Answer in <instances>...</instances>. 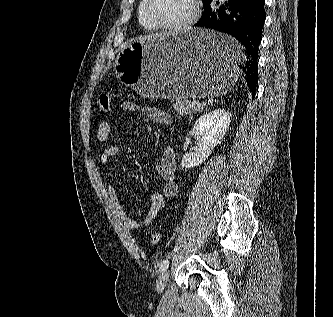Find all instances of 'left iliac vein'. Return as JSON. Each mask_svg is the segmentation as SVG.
I'll use <instances>...</instances> for the list:
<instances>
[{"mask_svg": "<svg viewBox=\"0 0 333 317\" xmlns=\"http://www.w3.org/2000/svg\"><path fill=\"white\" fill-rule=\"evenodd\" d=\"M169 280V271L165 270L158 278L157 291L162 292Z\"/></svg>", "mask_w": 333, "mask_h": 317, "instance_id": "1", "label": "left iliac vein"}]
</instances>
